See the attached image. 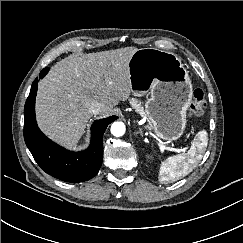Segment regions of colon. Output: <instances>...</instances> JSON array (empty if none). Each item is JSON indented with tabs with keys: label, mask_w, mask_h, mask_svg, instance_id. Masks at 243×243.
<instances>
[{
	"label": "colon",
	"mask_w": 243,
	"mask_h": 243,
	"mask_svg": "<svg viewBox=\"0 0 243 243\" xmlns=\"http://www.w3.org/2000/svg\"><path fill=\"white\" fill-rule=\"evenodd\" d=\"M205 107V94L202 89L196 88L193 91L192 101L187 108V116L200 115Z\"/></svg>",
	"instance_id": "5ec220e1"
}]
</instances>
